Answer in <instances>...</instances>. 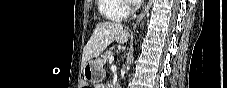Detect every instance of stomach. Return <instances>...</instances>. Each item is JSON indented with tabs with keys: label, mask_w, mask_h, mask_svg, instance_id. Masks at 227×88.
Here are the masks:
<instances>
[{
	"label": "stomach",
	"mask_w": 227,
	"mask_h": 88,
	"mask_svg": "<svg viewBox=\"0 0 227 88\" xmlns=\"http://www.w3.org/2000/svg\"><path fill=\"white\" fill-rule=\"evenodd\" d=\"M103 64V60L98 58L88 61L84 66L85 79L91 83L101 82L105 77Z\"/></svg>",
	"instance_id": "obj_1"
}]
</instances>
